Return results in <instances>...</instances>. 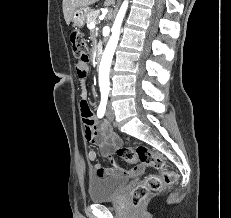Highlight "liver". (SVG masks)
<instances>
[{
	"mask_svg": "<svg viewBox=\"0 0 231 218\" xmlns=\"http://www.w3.org/2000/svg\"><path fill=\"white\" fill-rule=\"evenodd\" d=\"M98 0H63V14L66 24L69 25L74 11L80 7H88ZM115 0H105L104 6L114 4Z\"/></svg>",
	"mask_w": 231,
	"mask_h": 218,
	"instance_id": "6515ba94",
	"label": "liver"
}]
</instances>
